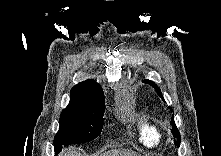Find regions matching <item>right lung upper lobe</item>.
I'll list each match as a JSON object with an SVG mask.
<instances>
[{"mask_svg":"<svg viewBox=\"0 0 221 156\" xmlns=\"http://www.w3.org/2000/svg\"><path fill=\"white\" fill-rule=\"evenodd\" d=\"M93 104H105L103 90L97 82L89 79L71 89L68 106Z\"/></svg>","mask_w":221,"mask_h":156,"instance_id":"cb5924a9","label":"right lung upper lobe"}]
</instances>
